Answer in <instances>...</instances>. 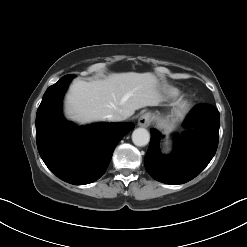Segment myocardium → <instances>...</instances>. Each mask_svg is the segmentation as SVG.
<instances>
[{"instance_id":"f54148a6","label":"myocardium","mask_w":247,"mask_h":247,"mask_svg":"<svg viewBox=\"0 0 247 247\" xmlns=\"http://www.w3.org/2000/svg\"><path fill=\"white\" fill-rule=\"evenodd\" d=\"M186 107H187V104L186 103H181V104L178 105L176 111L177 112H182V111H184L186 109Z\"/></svg>"}]
</instances>
